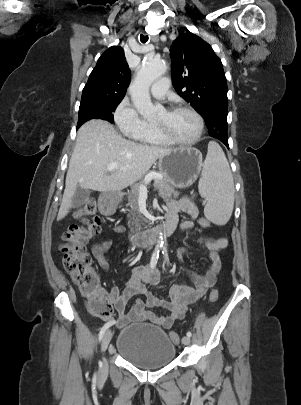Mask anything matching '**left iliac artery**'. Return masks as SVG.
Here are the masks:
<instances>
[{
    "mask_svg": "<svg viewBox=\"0 0 301 405\" xmlns=\"http://www.w3.org/2000/svg\"><path fill=\"white\" fill-rule=\"evenodd\" d=\"M163 254H164V257H165V260L167 261V263H169V258H168V253H167V249L164 247L163 248V252H162ZM187 336L188 337H191L192 336V333L190 332V331H188L187 332Z\"/></svg>",
    "mask_w": 301,
    "mask_h": 405,
    "instance_id": "1",
    "label": "left iliac artery"
}]
</instances>
